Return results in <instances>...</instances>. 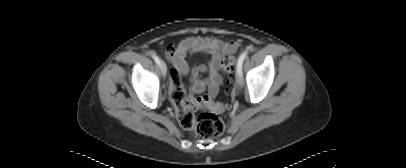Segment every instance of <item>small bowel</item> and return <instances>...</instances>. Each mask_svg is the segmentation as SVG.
I'll list each match as a JSON object with an SVG mask.
<instances>
[{"mask_svg":"<svg viewBox=\"0 0 406 168\" xmlns=\"http://www.w3.org/2000/svg\"><path fill=\"white\" fill-rule=\"evenodd\" d=\"M236 48L237 45L234 42L199 36L189 37L177 45L168 46L165 49V56L174 66L171 71L170 89L172 90L176 85H180L182 77L189 74V66L186 60L188 54H206L210 57L208 62L194 67L190 72V78L194 92L203 93L207 88V96L203 97L209 100L214 99L218 94L221 83L219 74L221 60L224 56L234 53ZM203 73H208L205 81L199 79Z\"/></svg>","mask_w":406,"mask_h":168,"instance_id":"small-bowel-1","label":"small bowel"}]
</instances>
